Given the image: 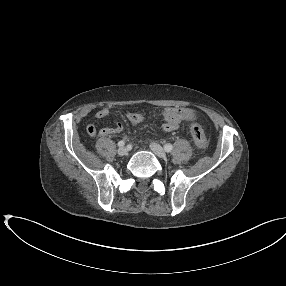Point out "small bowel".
<instances>
[{"label":"small bowel","instance_id":"obj_1","mask_svg":"<svg viewBox=\"0 0 286 286\" xmlns=\"http://www.w3.org/2000/svg\"><path fill=\"white\" fill-rule=\"evenodd\" d=\"M109 114L110 110L107 107H103L96 112L95 117L98 120H103L108 117ZM162 116L164 119L162 128L166 132L175 131L183 121L197 119L195 111L186 107H167L162 111ZM126 118L131 124H139L143 121L144 115L137 112H129L126 115ZM122 130V124L120 122H115L112 127L101 128L98 134L101 137H107L113 134H119ZM87 133L91 137L95 136L97 133L96 124H89L87 127Z\"/></svg>","mask_w":286,"mask_h":286}]
</instances>
